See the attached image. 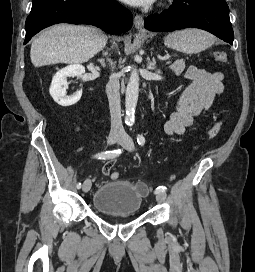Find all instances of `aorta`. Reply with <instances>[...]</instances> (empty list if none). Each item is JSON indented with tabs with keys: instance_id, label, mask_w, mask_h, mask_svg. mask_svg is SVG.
<instances>
[{
	"instance_id": "aorta-1",
	"label": "aorta",
	"mask_w": 255,
	"mask_h": 272,
	"mask_svg": "<svg viewBox=\"0 0 255 272\" xmlns=\"http://www.w3.org/2000/svg\"><path fill=\"white\" fill-rule=\"evenodd\" d=\"M138 95H139V74L137 69L133 68L130 73V78L127 84L125 97V110H126L125 122L128 125H132L134 123Z\"/></svg>"
}]
</instances>
